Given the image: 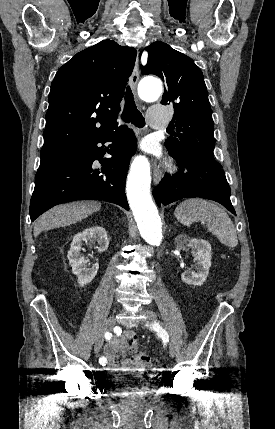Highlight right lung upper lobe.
<instances>
[{
    "label": "right lung upper lobe",
    "mask_w": 275,
    "mask_h": 429,
    "mask_svg": "<svg viewBox=\"0 0 275 429\" xmlns=\"http://www.w3.org/2000/svg\"><path fill=\"white\" fill-rule=\"evenodd\" d=\"M136 50L104 40L77 53L56 73L48 96L41 158L117 128Z\"/></svg>",
    "instance_id": "right-lung-upper-lobe-1"
}]
</instances>
